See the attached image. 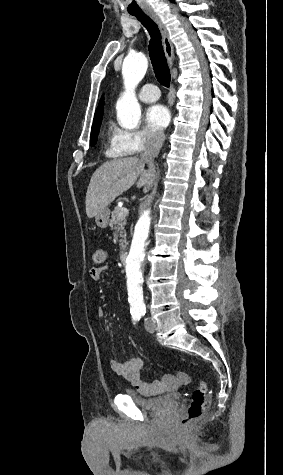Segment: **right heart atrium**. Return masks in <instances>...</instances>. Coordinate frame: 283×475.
Listing matches in <instances>:
<instances>
[{"label": "right heart atrium", "instance_id": "right-heart-atrium-1", "mask_svg": "<svg viewBox=\"0 0 283 475\" xmlns=\"http://www.w3.org/2000/svg\"><path fill=\"white\" fill-rule=\"evenodd\" d=\"M162 144V135L148 129H118L111 141L109 153L122 159V155H145L160 149Z\"/></svg>", "mask_w": 283, "mask_h": 475}]
</instances>
